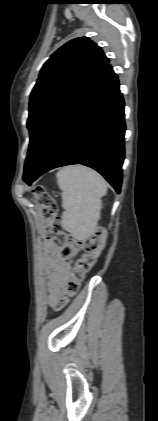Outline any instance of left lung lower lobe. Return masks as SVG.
Instances as JSON below:
<instances>
[{
  "instance_id": "1",
  "label": "left lung lower lobe",
  "mask_w": 158,
  "mask_h": 421,
  "mask_svg": "<svg viewBox=\"0 0 158 421\" xmlns=\"http://www.w3.org/2000/svg\"><path fill=\"white\" fill-rule=\"evenodd\" d=\"M124 100L117 75L107 63L70 99L45 132L25 167L31 184L56 167L89 166L120 192L124 160Z\"/></svg>"
}]
</instances>
